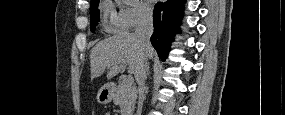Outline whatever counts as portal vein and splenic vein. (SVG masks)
<instances>
[{"label":"portal vein and splenic vein","instance_id":"obj_1","mask_svg":"<svg viewBox=\"0 0 285 115\" xmlns=\"http://www.w3.org/2000/svg\"><path fill=\"white\" fill-rule=\"evenodd\" d=\"M122 65H125V62H123ZM132 80H133L132 76L129 75L126 78H124L122 82L124 85H132Z\"/></svg>","mask_w":285,"mask_h":115}]
</instances>
